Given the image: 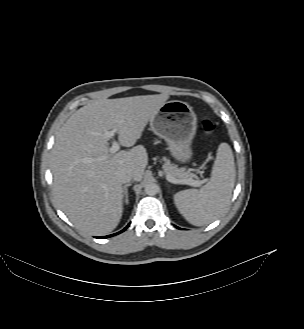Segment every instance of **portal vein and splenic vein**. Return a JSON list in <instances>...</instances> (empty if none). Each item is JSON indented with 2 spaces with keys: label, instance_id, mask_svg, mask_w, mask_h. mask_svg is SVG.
<instances>
[{
  "label": "portal vein and splenic vein",
  "instance_id": "portal-vein-and-splenic-vein-1",
  "mask_svg": "<svg viewBox=\"0 0 304 329\" xmlns=\"http://www.w3.org/2000/svg\"><path fill=\"white\" fill-rule=\"evenodd\" d=\"M116 131H117V128H114L111 131H106L104 133V137L108 140L112 139L114 137ZM119 149H120L119 143L116 140H113L112 146L110 148V153L114 154L117 151H119ZM166 179L169 182L174 183V184H185V185H191V186H194V187H200L205 183L204 180L176 179V178L172 177L171 175H166Z\"/></svg>",
  "mask_w": 304,
  "mask_h": 329
}]
</instances>
